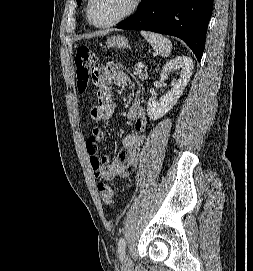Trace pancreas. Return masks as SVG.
<instances>
[{
    "instance_id": "pancreas-1",
    "label": "pancreas",
    "mask_w": 253,
    "mask_h": 271,
    "mask_svg": "<svg viewBox=\"0 0 253 271\" xmlns=\"http://www.w3.org/2000/svg\"><path fill=\"white\" fill-rule=\"evenodd\" d=\"M133 74L138 76L141 80H144L146 79L147 75L143 73L142 69L141 68H136L134 69L133 71Z\"/></svg>"
}]
</instances>
